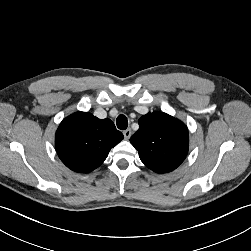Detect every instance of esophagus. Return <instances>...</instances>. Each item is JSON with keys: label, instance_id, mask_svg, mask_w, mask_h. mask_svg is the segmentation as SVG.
<instances>
[{"label": "esophagus", "instance_id": "obj_1", "mask_svg": "<svg viewBox=\"0 0 251 251\" xmlns=\"http://www.w3.org/2000/svg\"><path fill=\"white\" fill-rule=\"evenodd\" d=\"M123 135H124L125 139H129L132 135L131 129L129 128V129L124 130Z\"/></svg>", "mask_w": 251, "mask_h": 251}]
</instances>
